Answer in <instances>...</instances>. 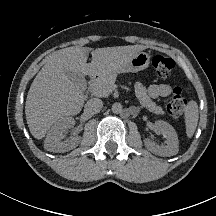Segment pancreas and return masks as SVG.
Masks as SVG:
<instances>
[{
	"mask_svg": "<svg viewBox=\"0 0 216 216\" xmlns=\"http://www.w3.org/2000/svg\"><path fill=\"white\" fill-rule=\"evenodd\" d=\"M115 75H102L94 79L90 85L93 95L98 97H106L115 89ZM135 95L140 104L155 114H164L162 108L157 106L155 102L147 95L146 88L141 83L135 85Z\"/></svg>",
	"mask_w": 216,
	"mask_h": 216,
	"instance_id": "1",
	"label": "pancreas"
}]
</instances>
